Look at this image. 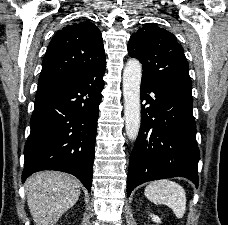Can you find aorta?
<instances>
[{"label":"aorta","mask_w":228,"mask_h":225,"mask_svg":"<svg viewBox=\"0 0 228 225\" xmlns=\"http://www.w3.org/2000/svg\"><path fill=\"white\" fill-rule=\"evenodd\" d=\"M142 64L137 58H129L123 72L124 115L126 135L136 141L140 129V82Z\"/></svg>","instance_id":"762f6f07"}]
</instances>
